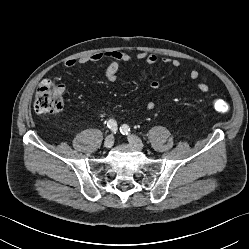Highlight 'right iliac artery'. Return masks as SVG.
Instances as JSON below:
<instances>
[{
    "label": "right iliac artery",
    "instance_id": "82829eb1",
    "mask_svg": "<svg viewBox=\"0 0 249 249\" xmlns=\"http://www.w3.org/2000/svg\"><path fill=\"white\" fill-rule=\"evenodd\" d=\"M107 127L109 128V129H111L112 131H116L117 130V123H116V121L115 120H113V119H110L108 122H107Z\"/></svg>",
    "mask_w": 249,
    "mask_h": 249
}]
</instances>
